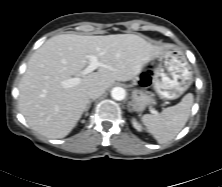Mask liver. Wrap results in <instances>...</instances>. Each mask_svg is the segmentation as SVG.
<instances>
[{
  "mask_svg": "<svg viewBox=\"0 0 222 187\" xmlns=\"http://www.w3.org/2000/svg\"><path fill=\"white\" fill-rule=\"evenodd\" d=\"M157 45L134 34L83 36L61 34L48 39L31 56L19 84V110L27 124L47 138H63L76 126L94 86L108 89L127 81L160 55ZM89 55L104 66L84 75ZM75 76L79 84L64 88L61 82Z\"/></svg>",
  "mask_w": 222,
  "mask_h": 187,
  "instance_id": "obj_1",
  "label": "liver"
}]
</instances>
